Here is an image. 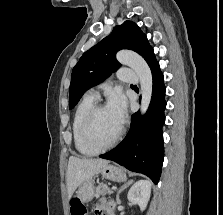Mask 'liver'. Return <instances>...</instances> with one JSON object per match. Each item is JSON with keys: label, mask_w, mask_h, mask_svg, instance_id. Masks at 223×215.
Segmentation results:
<instances>
[{"label": "liver", "mask_w": 223, "mask_h": 215, "mask_svg": "<svg viewBox=\"0 0 223 215\" xmlns=\"http://www.w3.org/2000/svg\"><path fill=\"white\" fill-rule=\"evenodd\" d=\"M104 163H109L108 159H80L70 155L67 169L68 199H71L78 185L92 179L94 173H98Z\"/></svg>", "instance_id": "1"}]
</instances>
